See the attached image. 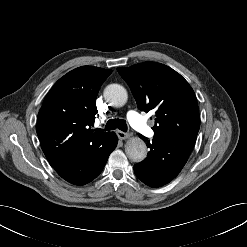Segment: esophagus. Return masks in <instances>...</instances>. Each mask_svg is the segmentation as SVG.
<instances>
[{"label":"esophagus","mask_w":247,"mask_h":247,"mask_svg":"<svg viewBox=\"0 0 247 247\" xmlns=\"http://www.w3.org/2000/svg\"><path fill=\"white\" fill-rule=\"evenodd\" d=\"M116 134H117L118 138L121 140L127 139L131 136L129 133H125V132L120 131V130H117Z\"/></svg>","instance_id":"34e87169"}]
</instances>
